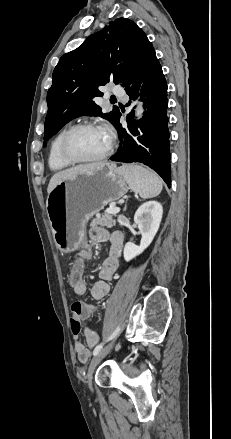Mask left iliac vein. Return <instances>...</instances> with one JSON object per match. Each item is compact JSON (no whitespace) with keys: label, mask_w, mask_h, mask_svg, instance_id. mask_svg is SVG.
I'll list each match as a JSON object with an SVG mask.
<instances>
[{"label":"left iliac vein","mask_w":231,"mask_h":439,"mask_svg":"<svg viewBox=\"0 0 231 439\" xmlns=\"http://www.w3.org/2000/svg\"><path fill=\"white\" fill-rule=\"evenodd\" d=\"M113 344H110L108 346H106L104 349H102L98 354H96L89 365L88 368V372H87V384L90 388V390L92 391V377H93V373L96 369V367L99 365V363L102 361V359L110 352L111 348H112Z\"/></svg>","instance_id":"1"}]
</instances>
